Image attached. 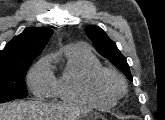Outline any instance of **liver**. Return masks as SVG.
Returning a JSON list of instances; mask_svg holds the SVG:
<instances>
[{
  "mask_svg": "<svg viewBox=\"0 0 165 120\" xmlns=\"http://www.w3.org/2000/svg\"><path fill=\"white\" fill-rule=\"evenodd\" d=\"M55 105L38 101H15L0 104V120H51L61 114V109ZM86 109H68V120H73Z\"/></svg>",
  "mask_w": 165,
  "mask_h": 120,
  "instance_id": "obj_1",
  "label": "liver"
}]
</instances>
